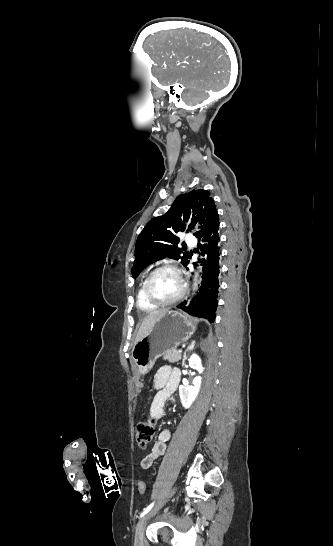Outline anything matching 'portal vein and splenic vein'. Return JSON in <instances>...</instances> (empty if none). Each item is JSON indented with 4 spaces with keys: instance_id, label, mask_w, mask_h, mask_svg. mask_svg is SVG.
Returning <instances> with one entry per match:
<instances>
[{
    "instance_id": "1",
    "label": "portal vein and splenic vein",
    "mask_w": 333,
    "mask_h": 546,
    "mask_svg": "<svg viewBox=\"0 0 333 546\" xmlns=\"http://www.w3.org/2000/svg\"><path fill=\"white\" fill-rule=\"evenodd\" d=\"M178 352L181 353V352H182V349H179Z\"/></svg>"
}]
</instances>
